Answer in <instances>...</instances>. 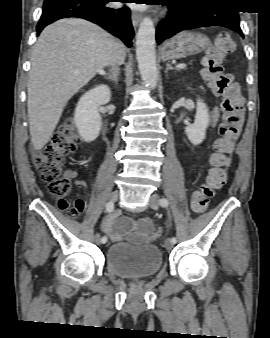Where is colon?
Listing matches in <instances>:
<instances>
[{
    "label": "colon",
    "instance_id": "colon-1",
    "mask_svg": "<svg viewBox=\"0 0 270 338\" xmlns=\"http://www.w3.org/2000/svg\"><path fill=\"white\" fill-rule=\"evenodd\" d=\"M235 49L231 36L222 34L205 50L201 58L202 77L212 90L222 97V122L220 137L214 141L211 155V169L206 181L192 193L191 208L197 214L206 211L208 201L227 181V171L231 165L230 152L234 140L239 136L243 124V105L239 95V86L232 76L222 68L224 58ZM79 135L75 123L70 120L55 133L51 141L33 155V162L41 179L46 183L49 193L58 198V208L69 217L78 218L84 210L82 200L72 203L64 198L72 191L70 174L64 169L66 156L77 146ZM137 226V225H134ZM157 231L156 236H159Z\"/></svg>",
    "mask_w": 270,
    "mask_h": 338
}]
</instances>
